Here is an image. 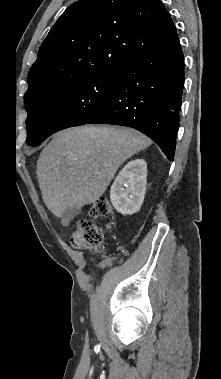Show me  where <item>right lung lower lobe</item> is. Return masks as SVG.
<instances>
[{
  "mask_svg": "<svg viewBox=\"0 0 221 379\" xmlns=\"http://www.w3.org/2000/svg\"><path fill=\"white\" fill-rule=\"evenodd\" d=\"M184 84L179 38L118 69L113 96L87 123L135 128L174 159Z\"/></svg>",
  "mask_w": 221,
  "mask_h": 379,
  "instance_id": "1",
  "label": "right lung lower lobe"
}]
</instances>
